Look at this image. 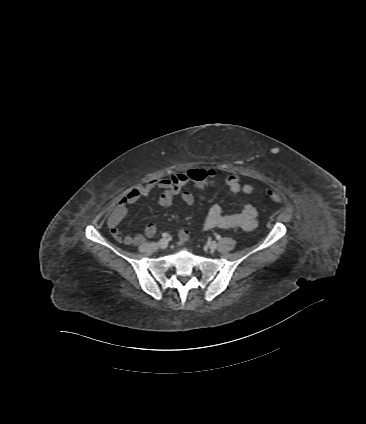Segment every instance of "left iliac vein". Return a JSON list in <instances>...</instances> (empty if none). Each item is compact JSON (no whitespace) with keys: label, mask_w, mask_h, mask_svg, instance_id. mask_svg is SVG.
I'll list each match as a JSON object with an SVG mask.
<instances>
[{"label":"left iliac vein","mask_w":366,"mask_h":424,"mask_svg":"<svg viewBox=\"0 0 366 424\" xmlns=\"http://www.w3.org/2000/svg\"><path fill=\"white\" fill-rule=\"evenodd\" d=\"M217 242L216 241H211L209 244H208V248L210 249V250H215L216 248H217Z\"/></svg>","instance_id":"4c4485c4"}]
</instances>
